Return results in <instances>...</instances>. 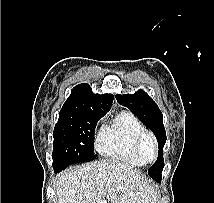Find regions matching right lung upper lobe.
I'll use <instances>...</instances> for the list:
<instances>
[{"instance_id": "cb5924a9", "label": "right lung upper lobe", "mask_w": 214, "mask_h": 203, "mask_svg": "<svg viewBox=\"0 0 214 203\" xmlns=\"http://www.w3.org/2000/svg\"><path fill=\"white\" fill-rule=\"evenodd\" d=\"M113 102L111 94H94L91 87L86 84H79L72 89L71 95L65 101L63 107L88 108L104 113L109 111Z\"/></svg>"}]
</instances>
